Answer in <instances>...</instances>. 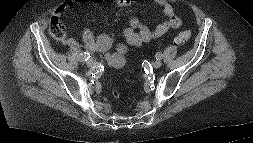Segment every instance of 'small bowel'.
I'll list each match as a JSON object with an SVG mask.
<instances>
[{
    "label": "small bowel",
    "mask_w": 253,
    "mask_h": 143,
    "mask_svg": "<svg viewBox=\"0 0 253 143\" xmlns=\"http://www.w3.org/2000/svg\"><path fill=\"white\" fill-rule=\"evenodd\" d=\"M102 1L103 0H66L58 7L55 15L60 16L64 11L78 4H97ZM137 1L139 0H114V2L120 6H130ZM154 2L162 8V13L166 17V20L151 30L138 18H130L128 21V26L123 31L125 41L129 46L137 48L141 46L142 43L159 38L169 30L177 29L182 25V19L175 14L174 8L168 0H154ZM81 37L85 47L92 52L106 51L111 47L112 44V41L108 36H96L88 28L82 29ZM66 43L72 46L76 45V41L73 38L67 39ZM114 56L125 61L127 58V52L121 51L111 57ZM111 63L115 66H119L115 62Z\"/></svg>",
    "instance_id": "small-bowel-1"
}]
</instances>
